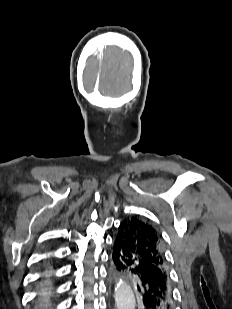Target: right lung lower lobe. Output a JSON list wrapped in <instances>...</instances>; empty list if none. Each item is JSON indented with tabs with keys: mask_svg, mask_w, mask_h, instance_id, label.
<instances>
[{
	"mask_svg": "<svg viewBox=\"0 0 232 309\" xmlns=\"http://www.w3.org/2000/svg\"><path fill=\"white\" fill-rule=\"evenodd\" d=\"M52 305H53L52 296L49 292L48 286L44 285L39 294V297L36 303V308L37 309H51Z\"/></svg>",
	"mask_w": 232,
	"mask_h": 309,
	"instance_id": "obj_1",
	"label": "right lung lower lobe"
}]
</instances>
